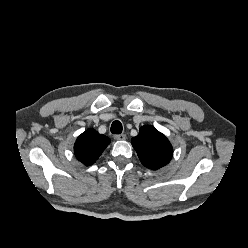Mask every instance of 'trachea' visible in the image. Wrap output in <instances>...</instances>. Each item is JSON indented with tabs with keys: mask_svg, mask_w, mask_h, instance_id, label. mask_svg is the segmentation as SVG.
Here are the masks:
<instances>
[{
	"mask_svg": "<svg viewBox=\"0 0 248 248\" xmlns=\"http://www.w3.org/2000/svg\"><path fill=\"white\" fill-rule=\"evenodd\" d=\"M122 130H123V128H122V124H121L120 121L116 120V121H114L112 123V125H111V132L113 134H121L122 133Z\"/></svg>",
	"mask_w": 248,
	"mask_h": 248,
	"instance_id": "1",
	"label": "trachea"
}]
</instances>
